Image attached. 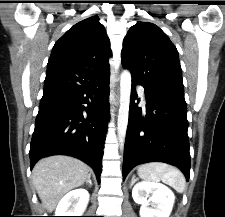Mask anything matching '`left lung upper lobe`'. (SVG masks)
Here are the masks:
<instances>
[{"instance_id":"obj_1","label":"left lung upper lobe","mask_w":225,"mask_h":217,"mask_svg":"<svg viewBox=\"0 0 225 217\" xmlns=\"http://www.w3.org/2000/svg\"><path fill=\"white\" fill-rule=\"evenodd\" d=\"M122 65L145 89L184 95L178 51L155 24L138 22L123 41Z\"/></svg>"}]
</instances>
